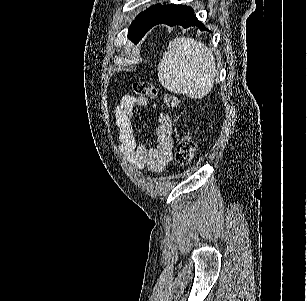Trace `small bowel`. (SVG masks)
Listing matches in <instances>:
<instances>
[{"label": "small bowel", "instance_id": "c3829d8e", "mask_svg": "<svg viewBox=\"0 0 307 301\" xmlns=\"http://www.w3.org/2000/svg\"><path fill=\"white\" fill-rule=\"evenodd\" d=\"M147 106L149 102L145 97L125 95L115 107L114 119L119 131V149L136 169L147 168L153 173H160L172 159V120L166 113L159 114L155 129V145L147 148L136 137L134 131L135 109ZM150 106L156 109V104Z\"/></svg>", "mask_w": 307, "mask_h": 301}]
</instances>
